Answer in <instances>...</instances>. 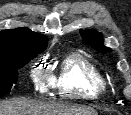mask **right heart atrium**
<instances>
[{
    "label": "right heart atrium",
    "instance_id": "1",
    "mask_svg": "<svg viewBox=\"0 0 131 115\" xmlns=\"http://www.w3.org/2000/svg\"><path fill=\"white\" fill-rule=\"evenodd\" d=\"M30 78L35 88L44 93L51 86L49 74L43 70L39 63H34L30 68Z\"/></svg>",
    "mask_w": 131,
    "mask_h": 115
}]
</instances>
